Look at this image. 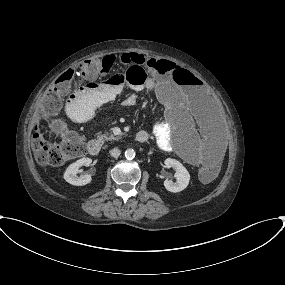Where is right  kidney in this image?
<instances>
[{"instance_id":"obj_1","label":"right kidney","mask_w":285,"mask_h":285,"mask_svg":"<svg viewBox=\"0 0 285 285\" xmlns=\"http://www.w3.org/2000/svg\"><path fill=\"white\" fill-rule=\"evenodd\" d=\"M92 163L91 158H81L66 169L64 173V179L75 186H84L91 182L92 177L90 174H83L81 176H78L77 174L81 172L80 167L82 166H90Z\"/></svg>"}]
</instances>
